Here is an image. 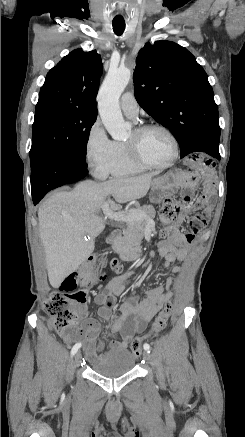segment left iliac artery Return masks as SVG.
<instances>
[{"label":"left iliac artery","instance_id":"obj_1","mask_svg":"<svg viewBox=\"0 0 245 437\" xmlns=\"http://www.w3.org/2000/svg\"><path fill=\"white\" fill-rule=\"evenodd\" d=\"M143 348H144L145 351H147L148 353H150V345H149L148 343H145V344L143 345Z\"/></svg>","mask_w":245,"mask_h":437}]
</instances>
